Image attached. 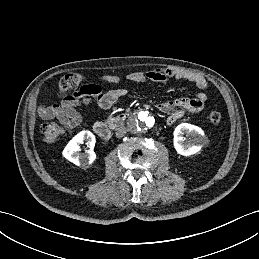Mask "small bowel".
Listing matches in <instances>:
<instances>
[{
    "mask_svg": "<svg viewBox=\"0 0 259 259\" xmlns=\"http://www.w3.org/2000/svg\"><path fill=\"white\" fill-rule=\"evenodd\" d=\"M169 78L187 80L202 90L194 97L177 98L157 104L161 112L168 114L167 123L171 125L187 112L197 113L203 110L207 100L204 90L209 85L208 80L202 74L182 68H163L147 72H131L126 75V79L134 83L146 81L165 83ZM98 80L111 84L121 82V78L116 75H102L98 77ZM126 94L125 88L103 91L100 86L89 84L69 96L60 98L54 105L40 107L39 115L43 119H57L67 127H75L81 122V116L77 110L79 107L96 104L102 109H109Z\"/></svg>",
    "mask_w": 259,
    "mask_h": 259,
    "instance_id": "obj_1",
    "label": "small bowel"
}]
</instances>
